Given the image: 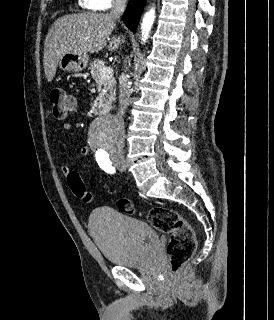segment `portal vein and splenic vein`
<instances>
[{
    "label": "portal vein and splenic vein",
    "mask_w": 274,
    "mask_h": 320,
    "mask_svg": "<svg viewBox=\"0 0 274 320\" xmlns=\"http://www.w3.org/2000/svg\"><path fill=\"white\" fill-rule=\"evenodd\" d=\"M99 72L102 80L103 78H111L113 76V68H102Z\"/></svg>",
    "instance_id": "obj_1"
}]
</instances>
